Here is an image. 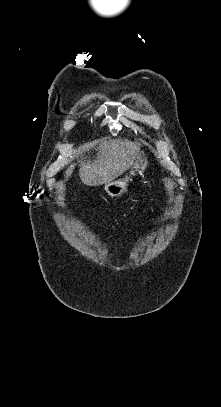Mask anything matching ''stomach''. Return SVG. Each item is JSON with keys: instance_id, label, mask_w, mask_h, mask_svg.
I'll use <instances>...</instances> for the list:
<instances>
[{"instance_id": "1", "label": "stomach", "mask_w": 221, "mask_h": 407, "mask_svg": "<svg viewBox=\"0 0 221 407\" xmlns=\"http://www.w3.org/2000/svg\"><path fill=\"white\" fill-rule=\"evenodd\" d=\"M147 164L148 160L144 152H138L130 166L129 176L105 184L104 189L107 194L111 197H120L127 191L128 184L132 181V177L136 175L143 176L147 169Z\"/></svg>"}]
</instances>
